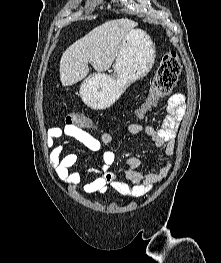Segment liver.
<instances>
[{
	"instance_id": "6515ba94",
	"label": "liver",
	"mask_w": 221,
	"mask_h": 263,
	"mask_svg": "<svg viewBox=\"0 0 221 263\" xmlns=\"http://www.w3.org/2000/svg\"><path fill=\"white\" fill-rule=\"evenodd\" d=\"M137 25L130 19L107 21L70 45L60 60L62 85L71 86L84 79L89 73L88 63L97 72L108 70L117 57L124 37Z\"/></svg>"
}]
</instances>
